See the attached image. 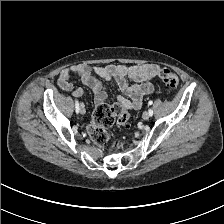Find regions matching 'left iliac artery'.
<instances>
[{"label":"left iliac artery","mask_w":224,"mask_h":224,"mask_svg":"<svg viewBox=\"0 0 224 224\" xmlns=\"http://www.w3.org/2000/svg\"><path fill=\"white\" fill-rule=\"evenodd\" d=\"M148 104H149V105H152V101H149ZM148 113H149L150 116H152V115H153V110L150 108V109L148 110Z\"/></svg>","instance_id":"obj_1"}]
</instances>
